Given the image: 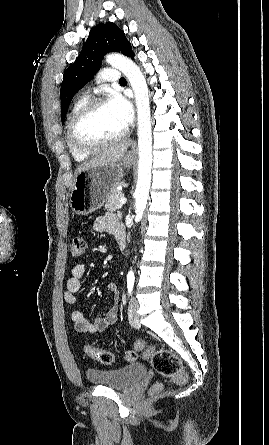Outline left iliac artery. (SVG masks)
I'll return each instance as SVG.
<instances>
[{"label": "left iliac artery", "instance_id": "1", "mask_svg": "<svg viewBox=\"0 0 269 445\" xmlns=\"http://www.w3.org/2000/svg\"><path fill=\"white\" fill-rule=\"evenodd\" d=\"M134 281H135V278L133 275H129L127 277V288H128L129 295H131V293L133 291Z\"/></svg>", "mask_w": 269, "mask_h": 445}]
</instances>
